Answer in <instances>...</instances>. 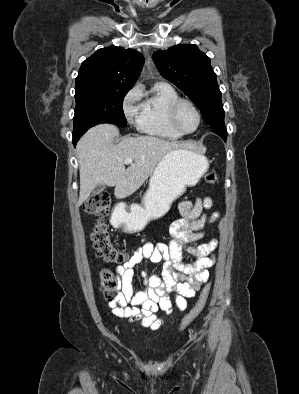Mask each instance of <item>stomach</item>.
Listing matches in <instances>:
<instances>
[{"instance_id":"0dacf381","label":"stomach","mask_w":299,"mask_h":394,"mask_svg":"<svg viewBox=\"0 0 299 394\" xmlns=\"http://www.w3.org/2000/svg\"><path fill=\"white\" fill-rule=\"evenodd\" d=\"M208 166L207 159L197 152L185 148L168 152L151 175L142 205L132 204L128 212H122L125 231H141L150 220L165 215L172 202L185 192L187 186L195 185Z\"/></svg>"}]
</instances>
